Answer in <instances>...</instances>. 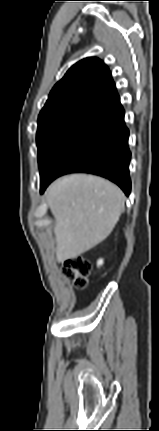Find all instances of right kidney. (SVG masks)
<instances>
[{
	"label": "right kidney",
	"instance_id": "ca27d5eb",
	"mask_svg": "<svg viewBox=\"0 0 159 431\" xmlns=\"http://www.w3.org/2000/svg\"><path fill=\"white\" fill-rule=\"evenodd\" d=\"M103 264V260L102 259H100L99 261H98V266L99 265H102Z\"/></svg>",
	"mask_w": 159,
	"mask_h": 431
}]
</instances>
